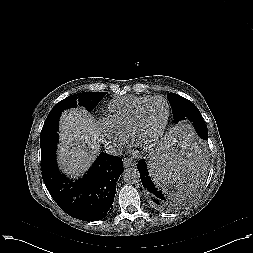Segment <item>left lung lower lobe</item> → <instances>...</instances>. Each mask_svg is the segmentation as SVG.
<instances>
[{
	"label": "left lung lower lobe",
	"instance_id": "obj_1",
	"mask_svg": "<svg viewBox=\"0 0 253 253\" xmlns=\"http://www.w3.org/2000/svg\"><path fill=\"white\" fill-rule=\"evenodd\" d=\"M189 153H191L190 159L193 162H197V165L189 175L185 176V185L175 192H170L162 180L161 182L158 181L153 174V178L150 177L148 169L151 171V168L145 159H141L138 162L137 169L140 173L142 185L146 188L148 200L154 208L162 211L177 208L189 194L195 191L202 179V172L206 163L203 144L198 140L196 142L193 141L191 146H189Z\"/></svg>",
	"mask_w": 253,
	"mask_h": 253
}]
</instances>
